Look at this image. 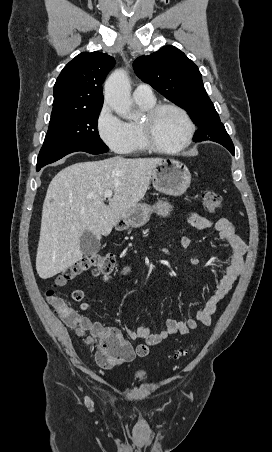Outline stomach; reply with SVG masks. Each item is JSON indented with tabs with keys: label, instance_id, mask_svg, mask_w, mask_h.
<instances>
[{
	"label": "stomach",
	"instance_id": "stomach-1",
	"mask_svg": "<svg viewBox=\"0 0 272 452\" xmlns=\"http://www.w3.org/2000/svg\"><path fill=\"white\" fill-rule=\"evenodd\" d=\"M151 181L155 190L169 196H180L186 192L191 183V174L182 162L165 158L155 166ZM173 206L167 201L159 200L155 205L138 203L129 209L119 220L121 229L137 228L146 224L153 212L167 217Z\"/></svg>",
	"mask_w": 272,
	"mask_h": 452
}]
</instances>
